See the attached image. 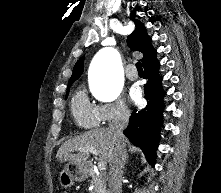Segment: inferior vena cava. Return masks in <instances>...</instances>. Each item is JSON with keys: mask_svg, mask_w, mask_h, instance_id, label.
<instances>
[{"mask_svg": "<svg viewBox=\"0 0 221 193\" xmlns=\"http://www.w3.org/2000/svg\"><path fill=\"white\" fill-rule=\"evenodd\" d=\"M130 112L126 108H121L117 113L115 119L110 123L109 128L114 134L115 153L110 162L109 171V192L121 193L123 169L127 159V151L124 143L123 130L129 122Z\"/></svg>", "mask_w": 221, "mask_h": 193, "instance_id": "602c4592", "label": "inferior vena cava"}]
</instances>
